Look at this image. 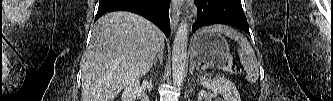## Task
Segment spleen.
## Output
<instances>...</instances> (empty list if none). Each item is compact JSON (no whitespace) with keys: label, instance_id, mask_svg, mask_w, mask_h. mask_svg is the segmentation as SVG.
<instances>
[{"label":"spleen","instance_id":"spleen-1","mask_svg":"<svg viewBox=\"0 0 333 101\" xmlns=\"http://www.w3.org/2000/svg\"><path fill=\"white\" fill-rule=\"evenodd\" d=\"M202 30L219 32L235 40L240 46L238 52H239L240 62L247 73L246 76L247 81L250 83H256L258 81L259 70H258V63L255 56V52L251 47L249 41L241 33L228 26L220 24L209 26Z\"/></svg>","mask_w":333,"mask_h":101}]
</instances>
